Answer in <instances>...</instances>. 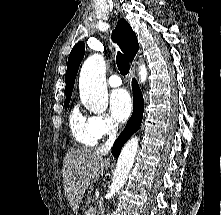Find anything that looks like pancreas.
Returning <instances> with one entry per match:
<instances>
[{
	"label": "pancreas",
	"instance_id": "1",
	"mask_svg": "<svg viewBox=\"0 0 221 215\" xmlns=\"http://www.w3.org/2000/svg\"><path fill=\"white\" fill-rule=\"evenodd\" d=\"M94 201V198L91 196V192H88L85 202V208H90V203ZM86 215H88V210L86 212ZM91 215H96V211L94 210Z\"/></svg>",
	"mask_w": 221,
	"mask_h": 215
}]
</instances>
